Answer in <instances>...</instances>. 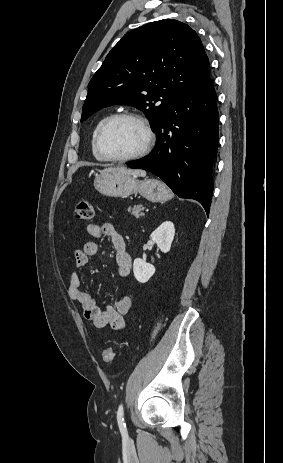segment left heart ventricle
<instances>
[{
  "mask_svg": "<svg viewBox=\"0 0 283 463\" xmlns=\"http://www.w3.org/2000/svg\"><path fill=\"white\" fill-rule=\"evenodd\" d=\"M145 143V133L135 120L122 119L112 123L103 133L101 145L105 154L125 157L138 152Z\"/></svg>",
  "mask_w": 283,
  "mask_h": 463,
  "instance_id": "1",
  "label": "left heart ventricle"
}]
</instances>
